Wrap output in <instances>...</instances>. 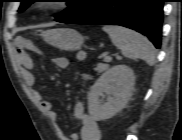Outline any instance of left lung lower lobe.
Listing matches in <instances>:
<instances>
[{"label": "left lung lower lobe", "instance_id": "0a47b994", "mask_svg": "<svg viewBox=\"0 0 182 140\" xmlns=\"http://www.w3.org/2000/svg\"><path fill=\"white\" fill-rule=\"evenodd\" d=\"M164 2L165 0H102L94 10L72 23L124 26L146 35L159 49Z\"/></svg>", "mask_w": 182, "mask_h": 140}]
</instances>
